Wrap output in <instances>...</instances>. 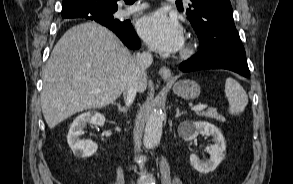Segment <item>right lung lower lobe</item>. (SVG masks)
I'll return each instance as SVG.
<instances>
[{
	"label": "right lung lower lobe",
	"instance_id": "obj_1",
	"mask_svg": "<svg viewBox=\"0 0 293 184\" xmlns=\"http://www.w3.org/2000/svg\"><path fill=\"white\" fill-rule=\"evenodd\" d=\"M115 11L93 9L73 18H86L94 20L112 30L128 48L138 49L141 43L131 22L129 20L121 21L115 19L113 17V13Z\"/></svg>",
	"mask_w": 293,
	"mask_h": 184
}]
</instances>
